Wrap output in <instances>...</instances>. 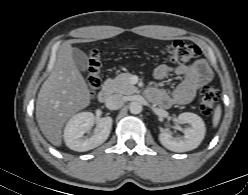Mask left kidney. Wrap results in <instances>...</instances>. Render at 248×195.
<instances>
[{
	"label": "left kidney",
	"instance_id": "left-kidney-1",
	"mask_svg": "<svg viewBox=\"0 0 248 195\" xmlns=\"http://www.w3.org/2000/svg\"><path fill=\"white\" fill-rule=\"evenodd\" d=\"M181 124L187 123L189 127L184 129V135L174 137L172 132L165 131L159 134L160 143L168 150L174 152H186L197 148L205 136V124L201 117L194 113H181L178 118Z\"/></svg>",
	"mask_w": 248,
	"mask_h": 195
}]
</instances>
